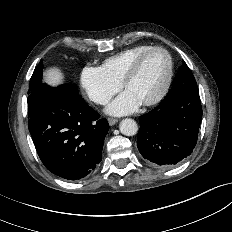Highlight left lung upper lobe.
<instances>
[{
	"mask_svg": "<svg viewBox=\"0 0 232 232\" xmlns=\"http://www.w3.org/2000/svg\"><path fill=\"white\" fill-rule=\"evenodd\" d=\"M172 87L181 92L199 93L194 76L184 61L182 67L176 74Z\"/></svg>",
	"mask_w": 232,
	"mask_h": 232,
	"instance_id": "left-lung-upper-lobe-1",
	"label": "left lung upper lobe"
}]
</instances>
